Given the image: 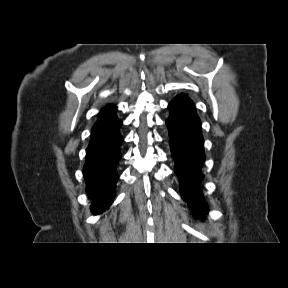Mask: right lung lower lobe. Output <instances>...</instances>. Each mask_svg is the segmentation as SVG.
<instances>
[{
  "label": "right lung lower lobe",
  "instance_id": "right-lung-lower-lobe-1",
  "mask_svg": "<svg viewBox=\"0 0 288 288\" xmlns=\"http://www.w3.org/2000/svg\"><path fill=\"white\" fill-rule=\"evenodd\" d=\"M119 128L107 139L90 143L86 149L83 175L87 185L86 192L93 201L91 205L93 214H101L107 210L115 196L116 182L119 178L118 166L122 158L121 144L123 142Z\"/></svg>",
  "mask_w": 288,
  "mask_h": 288
}]
</instances>
